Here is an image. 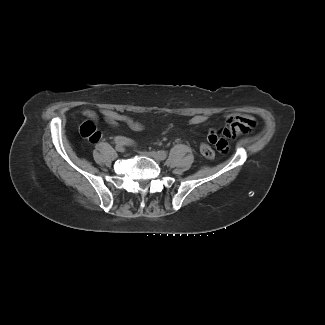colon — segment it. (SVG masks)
<instances>
[{"label":"colon","mask_w":325,"mask_h":325,"mask_svg":"<svg viewBox=\"0 0 325 325\" xmlns=\"http://www.w3.org/2000/svg\"><path fill=\"white\" fill-rule=\"evenodd\" d=\"M80 133L84 138L88 139L92 143L98 142L101 137L100 132L90 121H86L81 125ZM200 152L207 159H212L215 155L212 147L206 143L201 144Z\"/></svg>","instance_id":"obj_1"}]
</instances>
